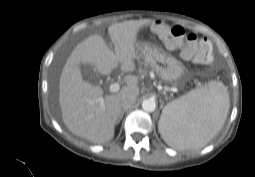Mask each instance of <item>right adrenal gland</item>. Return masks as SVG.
<instances>
[{
    "label": "right adrenal gland",
    "instance_id": "obj_1",
    "mask_svg": "<svg viewBox=\"0 0 255 177\" xmlns=\"http://www.w3.org/2000/svg\"><path fill=\"white\" fill-rule=\"evenodd\" d=\"M125 113H126V110H123V111L121 112V115H120V117H119L117 123H120V121L122 120V118H123V116H124Z\"/></svg>",
    "mask_w": 255,
    "mask_h": 177
}]
</instances>
